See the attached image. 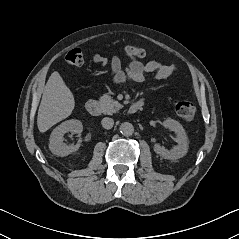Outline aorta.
I'll use <instances>...</instances> for the list:
<instances>
[{
    "mask_svg": "<svg viewBox=\"0 0 239 239\" xmlns=\"http://www.w3.org/2000/svg\"><path fill=\"white\" fill-rule=\"evenodd\" d=\"M120 132L125 136H131L134 133V127L129 122H123L120 125Z\"/></svg>",
    "mask_w": 239,
    "mask_h": 239,
    "instance_id": "1",
    "label": "aorta"
}]
</instances>
